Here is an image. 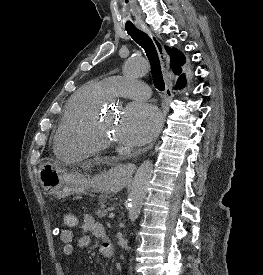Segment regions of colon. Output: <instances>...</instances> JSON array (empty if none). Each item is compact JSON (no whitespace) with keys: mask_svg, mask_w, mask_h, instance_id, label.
Returning a JSON list of instances; mask_svg holds the SVG:
<instances>
[{"mask_svg":"<svg viewBox=\"0 0 263 275\" xmlns=\"http://www.w3.org/2000/svg\"><path fill=\"white\" fill-rule=\"evenodd\" d=\"M63 221L66 227L72 228L77 226L78 218L73 213H66L63 217Z\"/></svg>","mask_w":263,"mask_h":275,"instance_id":"colon-1","label":"colon"}]
</instances>
